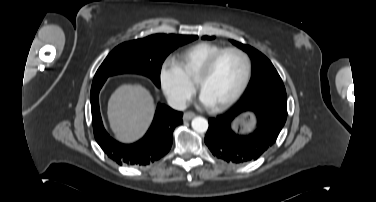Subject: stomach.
Instances as JSON below:
<instances>
[{"instance_id": "obj_1", "label": "stomach", "mask_w": 376, "mask_h": 202, "mask_svg": "<svg viewBox=\"0 0 376 202\" xmlns=\"http://www.w3.org/2000/svg\"><path fill=\"white\" fill-rule=\"evenodd\" d=\"M253 120H247L246 122L241 123V126L244 131H247L253 127Z\"/></svg>"}]
</instances>
